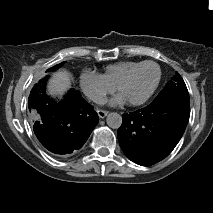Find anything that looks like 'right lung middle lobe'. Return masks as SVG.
I'll use <instances>...</instances> for the list:
<instances>
[{
	"label": "right lung middle lobe",
	"instance_id": "right-lung-middle-lobe-1",
	"mask_svg": "<svg viewBox=\"0 0 213 213\" xmlns=\"http://www.w3.org/2000/svg\"><path fill=\"white\" fill-rule=\"evenodd\" d=\"M63 63H64V62H62V63H60V64H58V65H56V66L51 67L50 69L47 70V72H48V71H54V70H56L58 67H61V65H62ZM44 79H47V78H44ZM42 80H43V79H42Z\"/></svg>",
	"mask_w": 213,
	"mask_h": 213
}]
</instances>
